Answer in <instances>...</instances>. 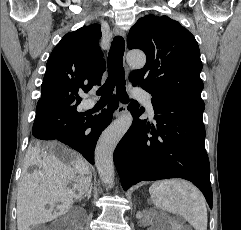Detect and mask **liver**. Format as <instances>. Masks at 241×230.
<instances>
[{
	"instance_id": "1",
	"label": "liver",
	"mask_w": 241,
	"mask_h": 230,
	"mask_svg": "<svg viewBox=\"0 0 241 230\" xmlns=\"http://www.w3.org/2000/svg\"><path fill=\"white\" fill-rule=\"evenodd\" d=\"M51 147L59 150L64 160L39 145L28 148L18 187V230H31V226L65 214L91 185L90 166L78 153L56 142ZM33 165L38 169L29 173ZM72 181L73 187L68 188Z\"/></svg>"
}]
</instances>
